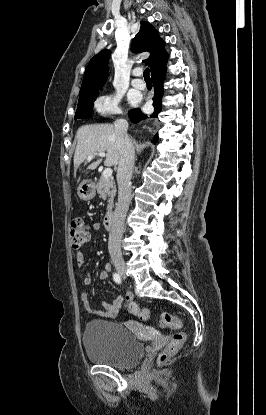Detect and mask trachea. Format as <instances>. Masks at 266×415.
<instances>
[{
  "mask_svg": "<svg viewBox=\"0 0 266 415\" xmlns=\"http://www.w3.org/2000/svg\"><path fill=\"white\" fill-rule=\"evenodd\" d=\"M143 77H144V79H145L146 81H151L150 74H149V69H148V68H147V69H145V71H144V73H143Z\"/></svg>",
  "mask_w": 266,
  "mask_h": 415,
  "instance_id": "1",
  "label": "trachea"
}]
</instances>
